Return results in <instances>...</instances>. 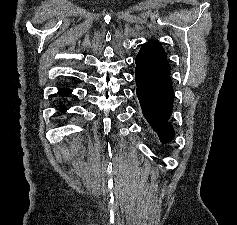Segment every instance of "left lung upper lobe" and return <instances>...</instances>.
I'll use <instances>...</instances> for the list:
<instances>
[{
	"instance_id": "5c2ea615",
	"label": "left lung upper lobe",
	"mask_w": 237,
	"mask_h": 225,
	"mask_svg": "<svg viewBox=\"0 0 237 225\" xmlns=\"http://www.w3.org/2000/svg\"><path fill=\"white\" fill-rule=\"evenodd\" d=\"M136 74L155 83L170 82V66L161 44L157 41L143 45L136 57Z\"/></svg>"
}]
</instances>
